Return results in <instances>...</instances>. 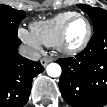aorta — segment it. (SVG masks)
I'll use <instances>...</instances> for the list:
<instances>
[{"mask_svg": "<svg viewBox=\"0 0 107 107\" xmlns=\"http://www.w3.org/2000/svg\"><path fill=\"white\" fill-rule=\"evenodd\" d=\"M47 74L50 77H59L61 75V67L57 63H50L46 68Z\"/></svg>", "mask_w": 107, "mask_h": 107, "instance_id": "1", "label": "aorta"}]
</instances>
